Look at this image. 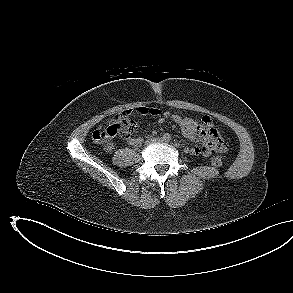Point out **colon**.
<instances>
[{
	"mask_svg": "<svg viewBox=\"0 0 293 293\" xmlns=\"http://www.w3.org/2000/svg\"><path fill=\"white\" fill-rule=\"evenodd\" d=\"M136 129L137 123L127 114L122 113L110 118L102 128L96 129L93 132V139L102 142L118 135L129 137ZM211 162L216 167L222 166V160L219 157H213Z\"/></svg>",
	"mask_w": 293,
	"mask_h": 293,
	"instance_id": "5ec220e1",
	"label": "colon"
}]
</instances>
